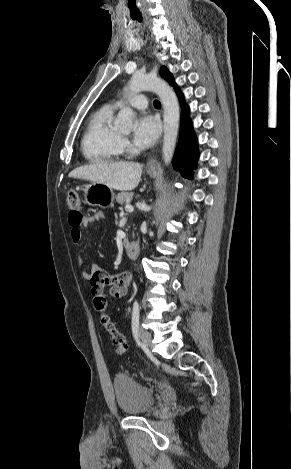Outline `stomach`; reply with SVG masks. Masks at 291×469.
<instances>
[{
	"label": "stomach",
	"instance_id": "obj_1",
	"mask_svg": "<svg viewBox=\"0 0 291 469\" xmlns=\"http://www.w3.org/2000/svg\"><path fill=\"white\" fill-rule=\"evenodd\" d=\"M147 173L151 177H155L158 174V170H147ZM114 197L113 189L106 184L92 182L84 187V198L86 203L90 206H111L113 204Z\"/></svg>",
	"mask_w": 291,
	"mask_h": 469
}]
</instances>
